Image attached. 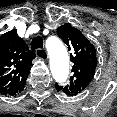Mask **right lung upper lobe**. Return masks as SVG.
Instances as JSON below:
<instances>
[{
  "instance_id": "right-lung-upper-lobe-1",
  "label": "right lung upper lobe",
  "mask_w": 117,
  "mask_h": 117,
  "mask_svg": "<svg viewBox=\"0 0 117 117\" xmlns=\"http://www.w3.org/2000/svg\"><path fill=\"white\" fill-rule=\"evenodd\" d=\"M35 57L16 29L0 36V94L15 96L23 90Z\"/></svg>"
}]
</instances>
